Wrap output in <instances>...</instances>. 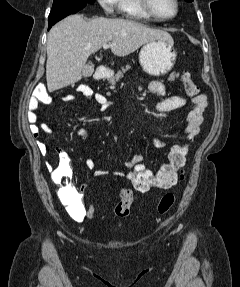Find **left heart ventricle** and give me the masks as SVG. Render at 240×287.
<instances>
[{
    "instance_id": "obj_1",
    "label": "left heart ventricle",
    "mask_w": 240,
    "mask_h": 287,
    "mask_svg": "<svg viewBox=\"0 0 240 287\" xmlns=\"http://www.w3.org/2000/svg\"><path fill=\"white\" fill-rule=\"evenodd\" d=\"M154 10L161 16H171L175 12L174 0H151Z\"/></svg>"
}]
</instances>
